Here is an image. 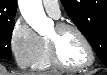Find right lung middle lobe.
<instances>
[{"label":"right lung middle lobe","mask_w":107,"mask_h":75,"mask_svg":"<svg viewBox=\"0 0 107 75\" xmlns=\"http://www.w3.org/2000/svg\"><path fill=\"white\" fill-rule=\"evenodd\" d=\"M14 21L0 22V58L9 59L11 54V37Z\"/></svg>","instance_id":"1"}]
</instances>
